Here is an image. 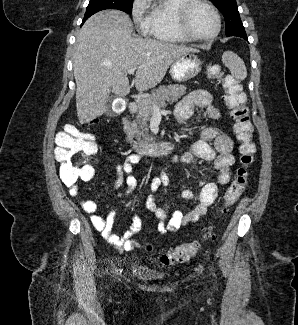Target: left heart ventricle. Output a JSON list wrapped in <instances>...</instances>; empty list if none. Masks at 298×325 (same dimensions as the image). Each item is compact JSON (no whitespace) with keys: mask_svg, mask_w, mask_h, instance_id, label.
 I'll return each instance as SVG.
<instances>
[{"mask_svg":"<svg viewBox=\"0 0 298 325\" xmlns=\"http://www.w3.org/2000/svg\"><path fill=\"white\" fill-rule=\"evenodd\" d=\"M185 24L200 39L209 38L215 31V20L210 12L201 5H194L188 12Z\"/></svg>","mask_w":298,"mask_h":325,"instance_id":"1","label":"left heart ventricle"}]
</instances>
